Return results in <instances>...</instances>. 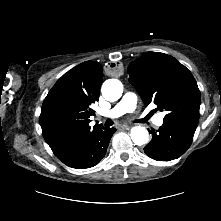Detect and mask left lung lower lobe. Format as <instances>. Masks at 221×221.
Segmentation results:
<instances>
[{
    "instance_id": "1",
    "label": "left lung lower lobe",
    "mask_w": 221,
    "mask_h": 221,
    "mask_svg": "<svg viewBox=\"0 0 221 221\" xmlns=\"http://www.w3.org/2000/svg\"><path fill=\"white\" fill-rule=\"evenodd\" d=\"M197 120L163 121L159 130L151 132L152 140L144 147V152L157 161L179 158L190 146Z\"/></svg>"
}]
</instances>
